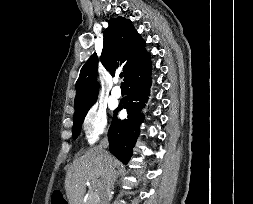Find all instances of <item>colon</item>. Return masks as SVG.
Returning <instances> with one entry per match:
<instances>
[{"instance_id":"colon-1","label":"colon","mask_w":253,"mask_h":204,"mask_svg":"<svg viewBox=\"0 0 253 204\" xmlns=\"http://www.w3.org/2000/svg\"><path fill=\"white\" fill-rule=\"evenodd\" d=\"M64 197L61 192H54L51 199V204H63Z\"/></svg>"}]
</instances>
